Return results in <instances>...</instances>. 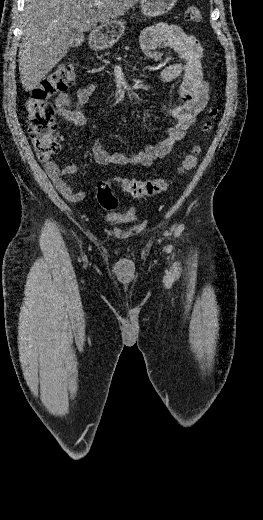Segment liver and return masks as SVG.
I'll return each instance as SVG.
<instances>
[{
    "instance_id": "obj_1",
    "label": "liver",
    "mask_w": 263,
    "mask_h": 520,
    "mask_svg": "<svg viewBox=\"0 0 263 520\" xmlns=\"http://www.w3.org/2000/svg\"><path fill=\"white\" fill-rule=\"evenodd\" d=\"M101 1L102 6H94ZM139 0H26L25 30L19 47L20 81L32 91L67 54L68 33L88 32L123 16Z\"/></svg>"
}]
</instances>
